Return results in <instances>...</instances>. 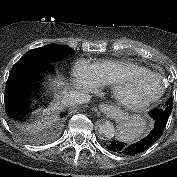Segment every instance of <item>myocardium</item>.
<instances>
[{
	"mask_svg": "<svg viewBox=\"0 0 177 177\" xmlns=\"http://www.w3.org/2000/svg\"><path fill=\"white\" fill-rule=\"evenodd\" d=\"M137 77H152L157 79L161 83V88L157 94L152 97L140 100H129L124 96L123 88L124 84L129 78H137ZM112 92L116 101L123 106L124 108L131 110H140L148 107L149 105L158 101L165 92V82L161 75L152 71H144V72H136V73H127L121 76L112 86Z\"/></svg>",
	"mask_w": 177,
	"mask_h": 177,
	"instance_id": "myocardium-1",
	"label": "myocardium"
}]
</instances>
